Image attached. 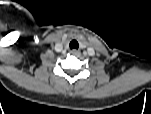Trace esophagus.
Instances as JSON below:
<instances>
[{"mask_svg": "<svg viewBox=\"0 0 151 114\" xmlns=\"http://www.w3.org/2000/svg\"><path fill=\"white\" fill-rule=\"evenodd\" d=\"M71 53H72V54H74V55H76V54H78V53H79V51H78V50H76V49H73V50H71Z\"/></svg>", "mask_w": 151, "mask_h": 114, "instance_id": "esophagus-1", "label": "esophagus"}]
</instances>
